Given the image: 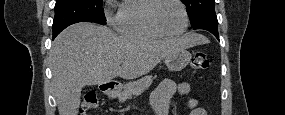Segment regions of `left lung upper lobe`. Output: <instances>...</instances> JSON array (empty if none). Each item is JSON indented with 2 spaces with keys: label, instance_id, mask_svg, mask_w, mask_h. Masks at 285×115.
Wrapping results in <instances>:
<instances>
[{
  "label": "left lung upper lobe",
  "instance_id": "5c2ea615",
  "mask_svg": "<svg viewBox=\"0 0 285 115\" xmlns=\"http://www.w3.org/2000/svg\"><path fill=\"white\" fill-rule=\"evenodd\" d=\"M187 7V13L192 27L208 17L216 16L215 0H182Z\"/></svg>",
  "mask_w": 285,
  "mask_h": 115
}]
</instances>
